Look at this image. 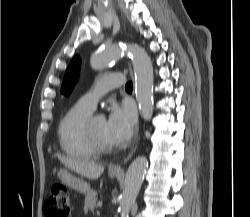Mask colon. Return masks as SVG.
<instances>
[{
    "mask_svg": "<svg viewBox=\"0 0 250 217\" xmlns=\"http://www.w3.org/2000/svg\"><path fill=\"white\" fill-rule=\"evenodd\" d=\"M71 199L65 186L55 185L44 204L46 217H69Z\"/></svg>",
    "mask_w": 250,
    "mask_h": 217,
    "instance_id": "colon-1",
    "label": "colon"
}]
</instances>
